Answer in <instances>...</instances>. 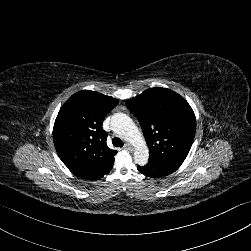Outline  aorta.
Segmentation results:
<instances>
[{
  "mask_svg": "<svg viewBox=\"0 0 251 251\" xmlns=\"http://www.w3.org/2000/svg\"><path fill=\"white\" fill-rule=\"evenodd\" d=\"M111 129L118 137L129 141L134 146V161L138 165H145L148 161L149 149L137 125L127 115L116 113L112 117Z\"/></svg>",
  "mask_w": 251,
  "mask_h": 251,
  "instance_id": "obj_1",
  "label": "aorta"
}]
</instances>
